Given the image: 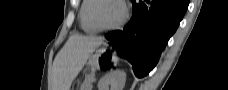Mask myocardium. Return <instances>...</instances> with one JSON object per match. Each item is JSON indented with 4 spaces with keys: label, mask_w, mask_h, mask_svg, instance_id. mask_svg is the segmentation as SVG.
Segmentation results:
<instances>
[{
    "label": "myocardium",
    "mask_w": 228,
    "mask_h": 90,
    "mask_svg": "<svg viewBox=\"0 0 228 90\" xmlns=\"http://www.w3.org/2000/svg\"><path fill=\"white\" fill-rule=\"evenodd\" d=\"M106 1H112V2H116V3L120 4L122 7V11H123L122 17L120 18V20L117 23L110 25V26H106V25L102 24L97 16V11L100 7V4L103 2H106ZM91 16H92V20H93L94 24L100 30L109 31V30H115L117 28H120L126 22V20L128 18V10H127L125 3L121 0H96V4L94 5V7L92 9Z\"/></svg>",
    "instance_id": "f54148a6"
}]
</instances>
